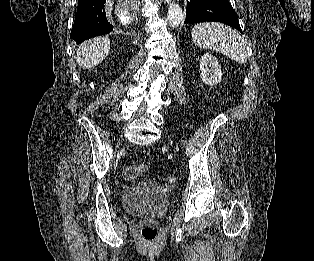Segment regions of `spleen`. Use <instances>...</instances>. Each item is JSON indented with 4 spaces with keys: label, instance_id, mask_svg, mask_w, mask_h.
<instances>
[{
    "label": "spleen",
    "instance_id": "spleen-1",
    "mask_svg": "<svg viewBox=\"0 0 314 261\" xmlns=\"http://www.w3.org/2000/svg\"><path fill=\"white\" fill-rule=\"evenodd\" d=\"M191 35L194 44L200 48L218 51L239 64L247 62V47L243 38L222 23H199L193 27Z\"/></svg>",
    "mask_w": 314,
    "mask_h": 261
}]
</instances>
